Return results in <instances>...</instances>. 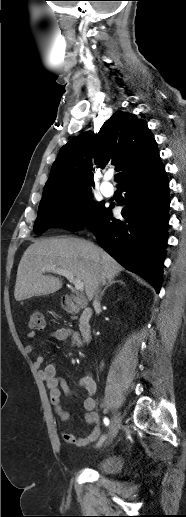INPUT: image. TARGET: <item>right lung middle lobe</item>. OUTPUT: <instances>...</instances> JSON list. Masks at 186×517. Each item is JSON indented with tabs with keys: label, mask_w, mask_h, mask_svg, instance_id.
<instances>
[{
	"label": "right lung middle lobe",
	"mask_w": 186,
	"mask_h": 517,
	"mask_svg": "<svg viewBox=\"0 0 186 517\" xmlns=\"http://www.w3.org/2000/svg\"><path fill=\"white\" fill-rule=\"evenodd\" d=\"M90 195L91 191L85 190L41 200L33 227L34 232L40 235L48 227L77 231L90 224L104 209L102 202H90Z\"/></svg>",
	"instance_id": "right-lung-middle-lobe-1"
}]
</instances>
